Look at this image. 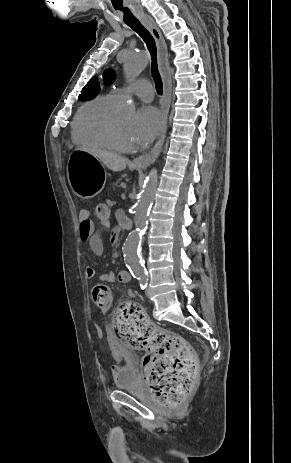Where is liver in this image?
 I'll list each match as a JSON object with an SVG mask.
<instances>
[{
  "mask_svg": "<svg viewBox=\"0 0 291 463\" xmlns=\"http://www.w3.org/2000/svg\"><path fill=\"white\" fill-rule=\"evenodd\" d=\"M77 150H86L90 154H92L94 157L98 158L104 165L107 166L108 169L112 171H122L126 168L127 166V159L117 155L112 152L104 151V150H99V149H83V148H78Z\"/></svg>",
  "mask_w": 291,
  "mask_h": 463,
  "instance_id": "liver-1",
  "label": "liver"
}]
</instances>
